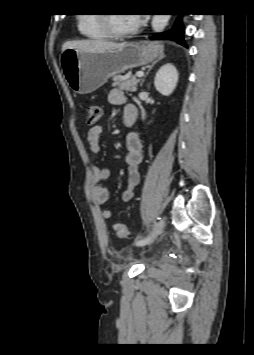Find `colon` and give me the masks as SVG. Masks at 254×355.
<instances>
[{"label": "colon", "instance_id": "obj_1", "mask_svg": "<svg viewBox=\"0 0 254 355\" xmlns=\"http://www.w3.org/2000/svg\"><path fill=\"white\" fill-rule=\"evenodd\" d=\"M102 109L99 105H89L87 107L86 120L89 125L95 124L101 117ZM115 234L119 238H128L130 236L129 227L123 223L114 225Z\"/></svg>", "mask_w": 254, "mask_h": 355}]
</instances>
